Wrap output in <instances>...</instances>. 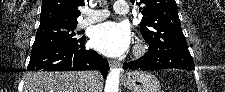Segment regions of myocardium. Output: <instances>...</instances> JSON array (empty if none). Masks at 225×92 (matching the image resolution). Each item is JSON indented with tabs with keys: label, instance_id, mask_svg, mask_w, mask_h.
<instances>
[{
	"label": "myocardium",
	"instance_id": "obj_1",
	"mask_svg": "<svg viewBox=\"0 0 225 92\" xmlns=\"http://www.w3.org/2000/svg\"><path fill=\"white\" fill-rule=\"evenodd\" d=\"M144 52V47L141 44H137L135 47L134 55L140 56Z\"/></svg>",
	"mask_w": 225,
	"mask_h": 92
}]
</instances>
